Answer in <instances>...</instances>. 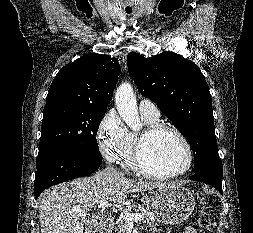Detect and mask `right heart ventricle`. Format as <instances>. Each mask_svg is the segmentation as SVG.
I'll return each mask as SVG.
<instances>
[{"mask_svg": "<svg viewBox=\"0 0 253 233\" xmlns=\"http://www.w3.org/2000/svg\"><path fill=\"white\" fill-rule=\"evenodd\" d=\"M142 118L147 126L158 123L159 121L158 118H150V117H145V116H142ZM137 138H138L137 133L129 132L126 148L120 158V160L122 161V165L125 168L132 170L134 172H137V169L135 168L134 161H133V154H134Z\"/></svg>", "mask_w": 253, "mask_h": 233, "instance_id": "1", "label": "right heart ventricle"}]
</instances>
